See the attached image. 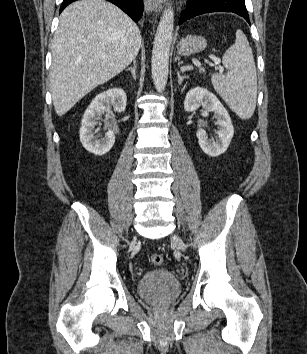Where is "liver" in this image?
Returning a JSON list of instances; mask_svg holds the SVG:
<instances>
[{
    "mask_svg": "<svg viewBox=\"0 0 307 354\" xmlns=\"http://www.w3.org/2000/svg\"><path fill=\"white\" fill-rule=\"evenodd\" d=\"M52 45L50 90L56 114L124 70L137 56L141 33L121 9L104 0H79L59 18Z\"/></svg>",
    "mask_w": 307,
    "mask_h": 354,
    "instance_id": "1",
    "label": "liver"
}]
</instances>
